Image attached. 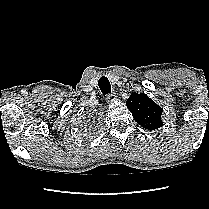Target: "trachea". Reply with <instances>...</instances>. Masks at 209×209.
Returning <instances> with one entry per match:
<instances>
[{
	"label": "trachea",
	"instance_id": "obj_1",
	"mask_svg": "<svg viewBox=\"0 0 209 209\" xmlns=\"http://www.w3.org/2000/svg\"><path fill=\"white\" fill-rule=\"evenodd\" d=\"M98 85L103 95L111 94V85L107 77L102 76L98 81Z\"/></svg>",
	"mask_w": 209,
	"mask_h": 209
}]
</instances>
